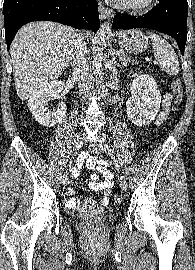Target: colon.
I'll return each mask as SVG.
<instances>
[{"label": "colon", "instance_id": "5ec220e1", "mask_svg": "<svg viewBox=\"0 0 195 270\" xmlns=\"http://www.w3.org/2000/svg\"><path fill=\"white\" fill-rule=\"evenodd\" d=\"M171 87H172V91L173 93L175 94V97H176V100H175V108H177L180 103L182 102V99H183V89H182V85H181V82L180 80L178 79H175L172 81V84H171ZM114 202L115 203H119L121 198L119 195H114V198H113Z\"/></svg>", "mask_w": 195, "mask_h": 270}]
</instances>
